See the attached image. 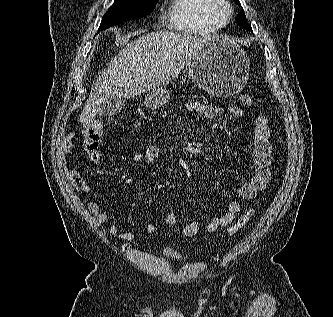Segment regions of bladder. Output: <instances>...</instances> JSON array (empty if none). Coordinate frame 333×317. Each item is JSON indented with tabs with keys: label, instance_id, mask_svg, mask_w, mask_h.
I'll list each match as a JSON object with an SVG mask.
<instances>
[{
	"label": "bladder",
	"instance_id": "obj_1",
	"mask_svg": "<svg viewBox=\"0 0 333 317\" xmlns=\"http://www.w3.org/2000/svg\"><path fill=\"white\" fill-rule=\"evenodd\" d=\"M164 255L169 258H179L178 254L174 251H166L164 252Z\"/></svg>",
	"mask_w": 333,
	"mask_h": 317
}]
</instances>
